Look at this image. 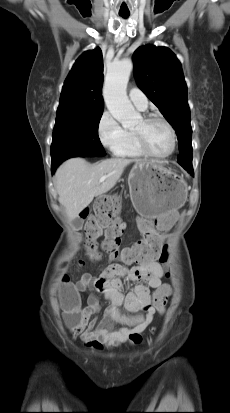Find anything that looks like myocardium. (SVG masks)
<instances>
[{"label": "myocardium", "mask_w": 230, "mask_h": 413, "mask_svg": "<svg viewBox=\"0 0 230 413\" xmlns=\"http://www.w3.org/2000/svg\"><path fill=\"white\" fill-rule=\"evenodd\" d=\"M161 121L163 122L169 129L170 134H171V148L168 152L164 153V154H159L156 153L154 151H152L149 146L147 145L142 133L138 132V131H133L135 138L137 140V143L140 147V149L143 151L144 154L150 156V157H154V158H158V159H164V158H168L170 157L176 150L177 147V133L176 130L174 128V126L171 124V122L169 120H167L165 117L159 115V114H150L148 116H145L143 118L144 123H149L152 121Z\"/></svg>", "instance_id": "1"}]
</instances>
